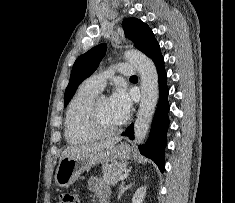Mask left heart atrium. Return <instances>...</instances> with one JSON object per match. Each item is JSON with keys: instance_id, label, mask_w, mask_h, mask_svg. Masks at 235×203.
Returning <instances> with one entry per match:
<instances>
[{"instance_id": "1", "label": "left heart atrium", "mask_w": 235, "mask_h": 203, "mask_svg": "<svg viewBox=\"0 0 235 203\" xmlns=\"http://www.w3.org/2000/svg\"><path fill=\"white\" fill-rule=\"evenodd\" d=\"M112 108L118 113V115L125 119L131 108L130 98L123 88H117L109 99Z\"/></svg>"}]
</instances>
